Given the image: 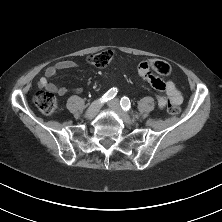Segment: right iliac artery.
Wrapping results in <instances>:
<instances>
[{
	"instance_id": "1",
	"label": "right iliac artery",
	"mask_w": 222,
	"mask_h": 222,
	"mask_svg": "<svg viewBox=\"0 0 222 222\" xmlns=\"http://www.w3.org/2000/svg\"><path fill=\"white\" fill-rule=\"evenodd\" d=\"M117 92H118L117 88H114V87L111 88L102 96V98L100 99L101 102H107V101L113 99L116 96Z\"/></svg>"
}]
</instances>
